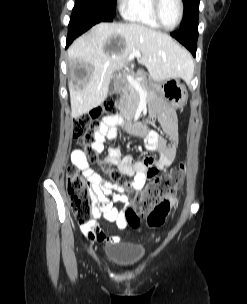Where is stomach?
<instances>
[{
  "label": "stomach",
  "instance_id": "stomach-1",
  "mask_svg": "<svg viewBox=\"0 0 247 304\" xmlns=\"http://www.w3.org/2000/svg\"><path fill=\"white\" fill-rule=\"evenodd\" d=\"M159 94L169 103L172 108L183 107L188 99L186 87L179 80H172L157 87Z\"/></svg>",
  "mask_w": 247,
  "mask_h": 304
}]
</instances>
